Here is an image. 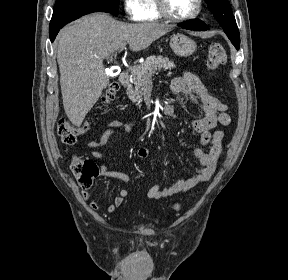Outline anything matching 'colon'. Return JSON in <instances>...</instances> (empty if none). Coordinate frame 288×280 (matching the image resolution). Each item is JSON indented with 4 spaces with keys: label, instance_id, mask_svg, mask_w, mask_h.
Returning <instances> with one entry per match:
<instances>
[{
    "label": "colon",
    "instance_id": "obj_1",
    "mask_svg": "<svg viewBox=\"0 0 288 280\" xmlns=\"http://www.w3.org/2000/svg\"><path fill=\"white\" fill-rule=\"evenodd\" d=\"M226 62V51L220 43H210L207 46V68L210 71L218 70ZM118 85L112 83L103 96V101L108 103L114 100L117 92ZM87 129V126H74L67 120H60L57 125V134L62 143L65 145H73L77 137L83 134ZM70 169L76 178L78 184L82 188L91 187L93 180L98 175L97 164L90 159L81 158L79 156H72L70 159ZM175 209H179V205L174 206Z\"/></svg>",
    "mask_w": 288,
    "mask_h": 280
}]
</instances>
